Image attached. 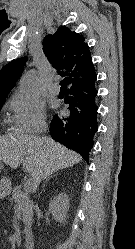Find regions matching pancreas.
<instances>
[{
	"label": "pancreas",
	"instance_id": "1",
	"mask_svg": "<svg viewBox=\"0 0 135 249\" xmlns=\"http://www.w3.org/2000/svg\"><path fill=\"white\" fill-rule=\"evenodd\" d=\"M12 198L16 203L15 209L22 212L28 219L32 216V202L30 201L28 194L21 191L20 187L13 189Z\"/></svg>",
	"mask_w": 135,
	"mask_h": 249
}]
</instances>
